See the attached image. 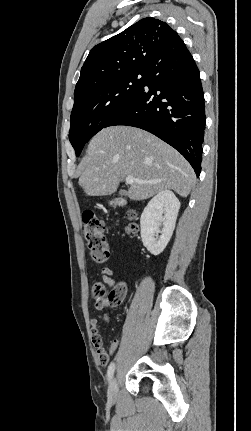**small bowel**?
I'll return each mask as SVG.
<instances>
[{
    "instance_id": "c3829d8e",
    "label": "small bowel",
    "mask_w": 251,
    "mask_h": 431,
    "mask_svg": "<svg viewBox=\"0 0 251 431\" xmlns=\"http://www.w3.org/2000/svg\"><path fill=\"white\" fill-rule=\"evenodd\" d=\"M102 280L109 287L115 286V280L113 278L114 272L111 268L105 267L101 271ZM96 308L101 313H94L90 320L91 331H92V342L94 347L96 348V357L98 358L97 367L98 369H107L109 363V355L111 350L109 348V352L106 348H103V340L99 333L100 323L107 322L109 320V313L105 310L104 305L102 303H97Z\"/></svg>"
}]
</instances>
